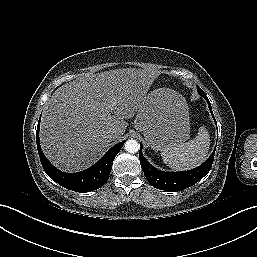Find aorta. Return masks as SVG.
<instances>
[{
  "mask_svg": "<svg viewBox=\"0 0 257 257\" xmlns=\"http://www.w3.org/2000/svg\"><path fill=\"white\" fill-rule=\"evenodd\" d=\"M124 148L129 153H136L139 150V144L136 140L130 139L125 142Z\"/></svg>",
  "mask_w": 257,
  "mask_h": 257,
  "instance_id": "762f6f07",
  "label": "aorta"
}]
</instances>
